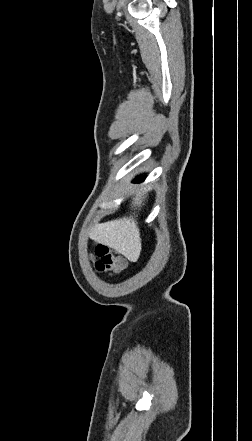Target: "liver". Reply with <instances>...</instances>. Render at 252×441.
I'll use <instances>...</instances> for the list:
<instances>
[{
  "label": "liver",
  "instance_id": "6515ba94",
  "mask_svg": "<svg viewBox=\"0 0 252 441\" xmlns=\"http://www.w3.org/2000/svg\"><path fill=\"white\" fill-rule=\"evenodd\" d=\"M148 190L144 188L135 192L132 207H141ZM90 236L95 242L118 251L131 262H136L140 256L142 249L140 230L133 216L95 225L90 231Z\"/></svg>",
  "mask_w": 252,
  "mask_h": 441
}]
</instances>
